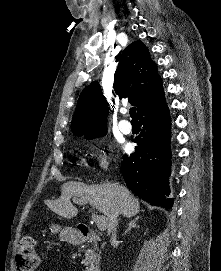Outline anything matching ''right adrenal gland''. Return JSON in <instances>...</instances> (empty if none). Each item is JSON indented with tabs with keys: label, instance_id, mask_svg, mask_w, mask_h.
Instances as JSON below:
<instances>
[{
	"label": "right adrenal gland",
	"instance_id": "2a0ac1e0",
	"mask_svg": "<svg viewBox=\"0 0 221 271\" xmlns=\"http://www.w3.org/2000/svg\"><path fill=\"white\" fill-rule=\"evenodd\" d=\"M138 219H139V215H136V217H134V219H131V221H129L128 227H127V229H125L124 233H127V231H129V229H132V227H138V225H137Z\"/></svg>",
	"mask_w": 221,
	"mask_h": 271
}]
</instances>
